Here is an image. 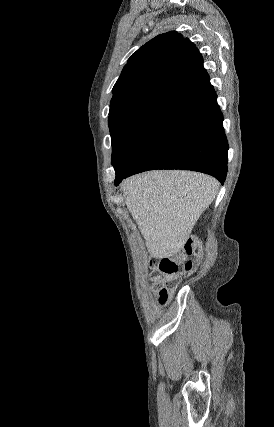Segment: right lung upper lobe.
Wrapping results in <instances>:
<instances>
[{
    "mask_svg": "<svg viewBox=\"0 0 274 427\" xmlns=\"http://www.w3.org/2000/svg\"><path fill=\"white\" fill-rule=\"evenodd\" d=\"M210 83L195 45L176 31L156 36L128 60L115 83L110 110L149 95L175 103Z\"/></svg>",
    "mask_w": 274,
    "mask_h": 427,
    "instance_id": "right-lung-upper-lobe-1",
    "label": "right lung upper lobe"
}]
</instances>
